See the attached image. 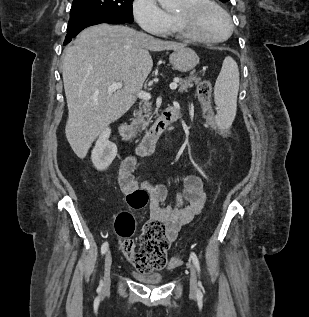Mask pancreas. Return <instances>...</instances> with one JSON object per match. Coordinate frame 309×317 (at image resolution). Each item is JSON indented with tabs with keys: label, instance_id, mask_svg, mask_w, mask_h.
<instances>
[{
	"label": "pancreas",
	"instance_id": "1",
	"mask_svg": "<svg viewBox=\"0 0 309 317\" xmlns=\"http://www.w3.org/2000/svg\"><path fill=\"white\" fill-rule=\"evenodd\" d=\"M200 78L194 75H191L186 78H179V92H186L189 88L193 87L194 83L198 84L200 82ZM151 111V103L148 101H143L139 109L134 112V118L132 119V126L137 131L145 130L146 126L149 124L151 120L150 116Z\"/></svg>",
	"mask_w": 309,
	"mask_h": 317
}]
</instances>
